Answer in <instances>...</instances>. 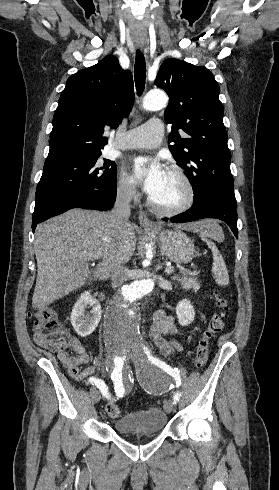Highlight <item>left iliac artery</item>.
Masks as SVG:
<instances>
[{
	"label": "left iliac artery",
	"instance_id": "1",
	"mask_svg": "<svg viewBox=\"0 0 279 490\" xmlns=\"http://www.w3.org/2000/svg\"><path fill=\"white\" fill-rule=\"evenodd\" d=\"M149 358V360L154 363L155 365L159 366L160 368H162L165 372H167L168 374L170 375H173L174 377H177L179 376V371L177 368H174L172 369L169 365H167L165 362L157 359L156 357H153L152 355H150V351L147 350L146 348V352H145ZM181 394L180 393H175L174 395V402L173 404H176L177 401H179V398H180Z\"/></svg>",
	"mask_w": 279,
	"mask_h": 490
}]
</instances>
